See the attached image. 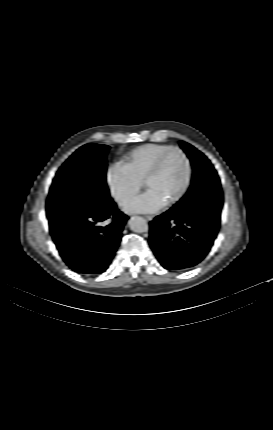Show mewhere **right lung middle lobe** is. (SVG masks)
Instances as JSON below:
<instances>
[{
    "label": "right lung middle lobe",
    "mask_w": 273,
    "mask_h": 430,
    "mask_svg": "<svg viewBox=\"0 0 273 430\" xmlns=\"http://www.w3.org/2000/svg\"><path fill=\"white\" fill-rule=\"evenodd\" d=\"M109 146L86 144L58 170L47 198V217L56 219L92 205L113 202L106 184Z\"/></svg>",
    "instance_id": "right-lung-middle-lobe-1"
}]
</instances>
